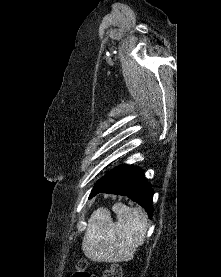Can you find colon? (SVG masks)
<instances>
[{"label":"colon","instance_id":"colon-1","mask_svg":"<svg viewBox=\"0 0 221 277\" xmlns=\"http://www.w3.org/2000/svg\"><path fill=\"white\" fill-rule=\"evenodd\" d=\"M71 277H95L89 272L87 262L80 260ZM103 277H122V268L118 264H110Z\"/></svg>","mask_w":221,"mask_h":277}]
</instances>
